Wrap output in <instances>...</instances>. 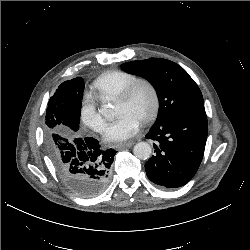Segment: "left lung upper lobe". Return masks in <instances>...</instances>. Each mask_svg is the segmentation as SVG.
Instances as JSON below:
<instances>
[{"label": "left lung upper lobe", "mask_w": 250, "mask_h": 250, "mask_svg": "<svg viewBox=\"0 0 250 250\" xmlns=\"http://www.w3.org/2000/svg\"><path fill=\"white\" fill-rule=\"evenodd\" d=\"M121 68L148 80L155 88L159 112L155 124L184 112L204 109L201 91L178 64L161 58L127 62Z\"/></svg>", "instance_id": "left-lung-upper-lobe-1"}]
</instances>
